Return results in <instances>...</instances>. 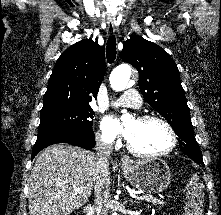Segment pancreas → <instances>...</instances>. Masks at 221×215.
<instances>
[{"label": "pancreas", "mask_w": 221, "mask_h": 215, "mask_svg": "<svg viewBox=\"0 0 221 215\" xmlns=\"http://www.w3.org/2000/svg\"><path fill=\"white\" fill-rule=\"evenodd\" d=\"M147 203H151L153 205H164V202L157 199V198H154L152 196H147L145 199H144Z\"/></svg>", "instance_id": "cf45deb5"}]
</instances>
